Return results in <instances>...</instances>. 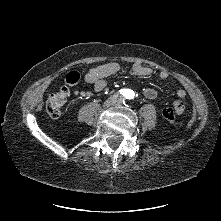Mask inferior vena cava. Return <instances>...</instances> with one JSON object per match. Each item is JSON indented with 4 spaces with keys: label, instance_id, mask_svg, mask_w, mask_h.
<instances>
[{
    "label": "inferior vena cava",
    "instance_id": "1",
    "mask_svg": "<svg viewBox=\"0 0 221 221\" xmlns=\"http://www.w3.org/2000/svg\"><path fill=\"white\" fill-rule=\"evenodd\" d=\"M120 99H121V95H119L118 93H115L114 95L111 96L112 101H118Z\"/></svg>",
    "mask_w": 221,
    "mask_h": 221
}]
</instances>
